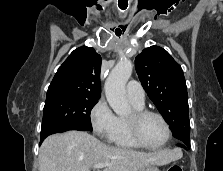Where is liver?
Wrapping results in <instances>:
<instances>
[{"label": "liver", "mask_w": 223, "mask_h": 171, "mask_svg": "<svg viewBox=\"0 0 223 171\" xmlns=\"http://www.w3.org/2000/svg\"><path fill=\"white\" fill-rule=\"evenodd\" d=\"M179 149L150 153L107 145L82 131L47 137L39 152V171H90L104 163V171H140L149 165H166L179 159Z\"/></svg>", "instance_id": "6515ba94"}]
</instances>
